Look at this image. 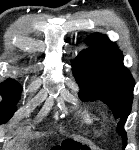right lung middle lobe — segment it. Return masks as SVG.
Returning <instances> with one entry per match:
<instances>
[{"instance_id":"1","label":"right lung middle lobe","mask_w":139,"mask_h":150,"mask_svg":"<svg viewBox=\"0 0 139 150\" xmlns=\"http://www.w3.org/2000/svg\"><path fill=\"white\" fill-rule=\"evenodd\" d=\"M21 86L15 80H7L0 84V94L3 101L0 103V124L6 123L16 111L15 103L20 97Z\"/></svg>"}]
</instances>
